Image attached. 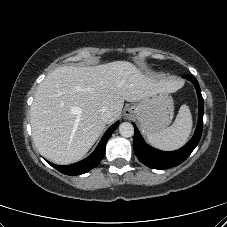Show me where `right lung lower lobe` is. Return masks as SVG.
Instances as JSON below:
<instances>
[{"label": "right lung lower lobe", "mask_w": 227, "mask_h": 227, "mask_svg": "<svg viewBox=\"0 0 227 227\" xmlns=\"http://www.w3.org/2000/svg\"><path fill=\"white\" fill-rule=\"evenodd\" d=\"M118 125L119 122H116L105 132L94 152L84 160L67 166L55 165L52 163L50 164L61 173L70 176L80 175L90 171L102 160L105 153L106 143Z\"/></svg>", "instance_id": "1"}]
</instances>
